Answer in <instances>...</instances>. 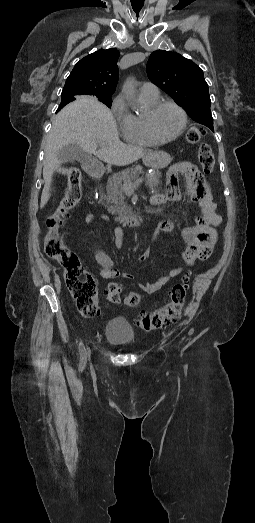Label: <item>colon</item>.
<instances>
[{
  "instance_id": "obj_1",
  "label": "colon",
  "mask_w": 255,
  "mask_h": 523,
  "mask_svg": "<svg viewBox=\"0 0 255 523\" xmlns=\"http://www.w3.org/2000/svg\"><path fill=\"white\" fill-rule=\"evenodd\" d=\"M204 132L201 128L191 127L186 134V142L199 144L198 157L205 174L212 173L215 156L209 144L202 142ZM61 172L68 180L66 194L57 209L47 219L45 236V252L48 257L57 261L63 268L66 286L74 298L81 314L92 316L98 312L97 283L93 275L85 269L79 256L71 251L60 238V228L82 196L81 174L75 167L64 168ZM188 274L181 283L175 284L167 302L154 311L140 313L137 324L146 331L163 328L176 322L182 312L188 287ZM111 303L121 301V290L111 284L106 292ZM141 301V296L135 292L124 295L123 302L127 307H135Z\"/></svg>"
}]
</instances>
